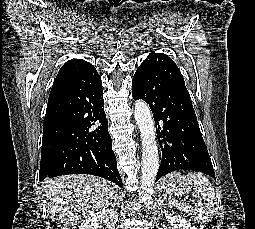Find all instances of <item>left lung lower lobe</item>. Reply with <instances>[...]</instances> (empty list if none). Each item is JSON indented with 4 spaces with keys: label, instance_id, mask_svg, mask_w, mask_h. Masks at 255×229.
Returning a JSON list of instances; mask_svg holds the SVG:
<instances>
[{
    "label": "left lung lower lobe",
    "instance_id": "1",
    "mask_svg": "<svg viewBox=\"0 0 255 229\" xmlns=\"http://www.w3.org/2000/svg\"><path fill=\"white\" fill-rule=\"evenodd\" d=\"M134 100L150 105L156 122L162 160L156 181L180 169L200 171L215 179L190 95L175 62L163 53H150L132 80Z\"/></svg>",
    "mask_w": 255,
    "mask_h": 229
}]
</instances>
